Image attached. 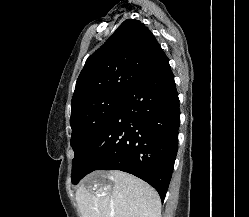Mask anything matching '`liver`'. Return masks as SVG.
Returning a JSON list of instances; mask_svg holds the SVG:
<instances>
[{"mask_svg":"<svg viewBox=\"0 0 249 217\" xmlns=\"http://www.w3.org/2000/svg\"><path fill=\"white\" fill-rule=\"evenodd\" d=\"M89 179L97 184L99 178L113 185L92 190L82 184L76 191L81 217H160L161 201L158 193L146 182L128 173L112 170L96 172Z\"/></svg>","mask_w":249,"mask_h":217,"instance_id":"1","label":"liver"}]
</instances>
